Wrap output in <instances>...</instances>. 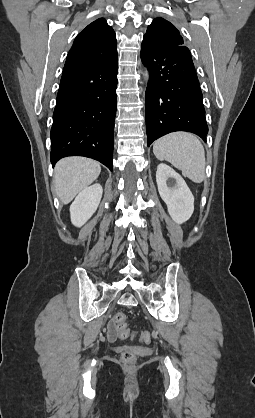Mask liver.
I'll list each match as a JSON object with an SVG mask.
<instances>
[{"instance_id":"6515ba94","label":"liver","mask_w":255,"mask_h":418,"mask_svg":"<svg viewBox=\"0 0 255 418\" xmlns=\"http://www.w3.org/2000/svg\"><path fill=\"white\" fill-rule=\"evenodd\" d=\"M101 172L100 163L85 157L61 159L54 169L55 191L63 204L94 182Z\"/></svg>"}]
</instances>
